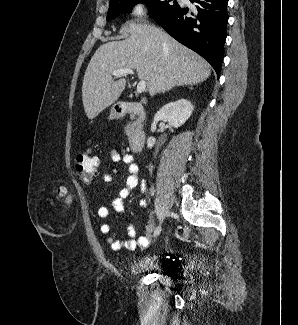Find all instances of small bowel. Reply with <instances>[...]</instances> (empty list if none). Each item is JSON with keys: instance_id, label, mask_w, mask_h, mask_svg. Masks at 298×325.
<instances>
[{"instance_id": "obj_1", "label": "small bowel", "mask_w": 298, "mask_h": 325, "mask_svg": "<svg viewBox=\"0 0 298 325\" xmlns=\"http://www.w3.org/2000/svg\"><path fill=\"white\" fill-rule=\"evenodd\" d=\"M111 161L115 164L123 163L126 165L129 175L126 178V186L120 190L119 196L112 201L113 209L121 214H125V205L124 199H126L130 191L138 186L141 190L145 191V184L138 177L139 167L136 164L134 157L129 153H121L116 149L110 151ZM118 174L117 168H112L111 170L103 174V181L110 183L114 180L115 176ZM140 205L145 207V201L140 200ZM97 215L106 219L109 216V209L106 206H101L97 210ZM153 224L151 220H147L145 224V235L136 239V229L132 224L127 226V239H120L117 237V234L113 231L109 224H102L100 231L103 235H106L107 242L109 243L113 251H120L122 249L134 250L136 247H145L149 244V236L152 232Z\"/></svg>"}]
</instances>
